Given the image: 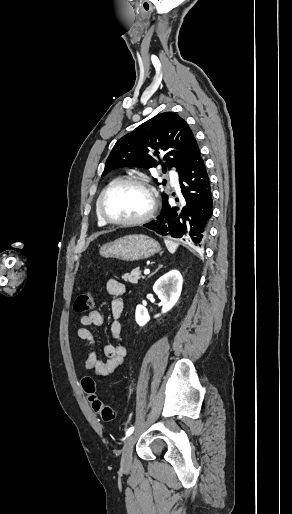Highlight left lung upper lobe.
I'll return each mask as SVG.
<instances>
[{"label": "left lung upper lobe", "instance_id": "left-lung-upper-lobe-1", "mask_svg": "<svg viewBox=\"0 0 292 514\" xmlns=\"http://www.w3.org/2000/svg\"><path fill=\"white\" fill-rule=\"evenodd\" d=\"M195 140L186 121L173 112L161 113L120 138L105 163L102 176L120 167L183 169ZM165 160L166 163L161 162ZM156 182V179H155Z\"/></svg>", "mask_w": 292, "mask_h": 514}]
</instances>
